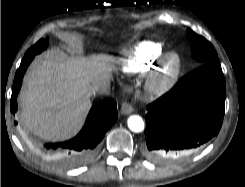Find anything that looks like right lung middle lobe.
<instances>
[{
    "instance_id": "right-lung-middle-lobe-1",
    "label": "right lung middle lobe",
    "mask_w": 245,
    "mask_h": 187,
    "mask_svg": "<svg viewBox=\"0 0 245 187\" xmlns=\"http://www.w3.org/2000/svg\"><path fill=\"white\" fill-rule=\"evenodd\" d=\"M47 44H48V42L46 39H41L34 46H32L26 52V54H38V53L42 52L47 47Z\"/></svg>"
}]
</instances>
